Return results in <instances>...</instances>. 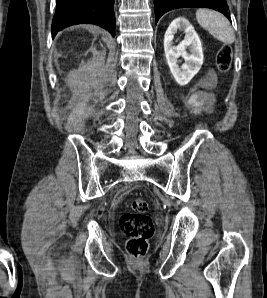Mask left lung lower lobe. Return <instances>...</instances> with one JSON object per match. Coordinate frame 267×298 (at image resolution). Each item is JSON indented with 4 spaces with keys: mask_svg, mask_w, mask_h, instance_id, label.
Returning a JSON list of instances; mask_svg holds the SVG:
<instances>
[{
    "mask_svg": "<svg viewBox=\"0 0 267 298\" xmlns=\"http://www.w3.org/2000/svg\"><path fill=\"white\" fill-rule=\"evenodd\" d=\"M155 22L166 12L186 7H205L223 13L230 21L226 0H154Z\"/></svg>",
    "mask_w": 267,
    "mask_h": 298,
    "instance_id": "left-lung-lower-lobe-1",
    "label": "left lung lower lobe"
}]
</instances>
